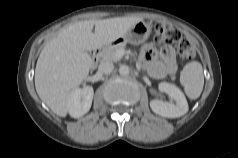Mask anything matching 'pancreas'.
<instances>
[{"mask_svg": "<svg viewBox=\"0 0 238 158\" xmlns=\"http://www.w3.org/2000/svg\"><path fill=\"white\" fill-rule=\"evenodd\" d=\"M126 43H119L113 46L104 48L101 52V56L104 61L117 62L120 58L117 57V51L125 49Z\"/></svg>", "mask_w": 238, "mask_h": 158, "instance_id": "1", "label": "pancreas"}]
</instances>
